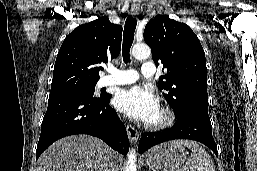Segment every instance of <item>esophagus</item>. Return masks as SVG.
<instances>
[{
	"instance_id": "esophagus-1",
	"label": "esophagus",
	"mask_w": 257,
	"mask_h": 171,
	"mask_svg": "<svg viewBox=\"0 0 257 171\" xmlns=\"http://www.w3.org/2000/svg\"><path fill=\"white\" fill-rule=\"evenodd\" d=\"M131 13L134 16L139 15V13H140V6H139V4L134 3V4L131 5ZM126 131H127V134H128L130 142L132 144L137 143V141L139 139V133L136 130V128L133 127L132 125H127L126 126Z\"/></svg>"
}]
</instances>
